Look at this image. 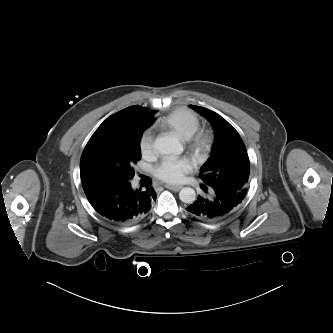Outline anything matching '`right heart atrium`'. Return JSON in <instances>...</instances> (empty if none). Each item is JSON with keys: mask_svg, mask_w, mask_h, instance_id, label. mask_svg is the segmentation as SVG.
<instances>
[{"mask_svg": "<svg viewBox=\"0 0 333 333\" xmlns=\"http://www.w3.org/2000/svg\"><path fill=\"white\" fill-rule=\"evenodd\" d=\"M140 151L144 157H149L154 152V139L150 132H145L141 137Z\"/></svg>", "mask_w": 333, "mask_h": 333, "instance_id": "1", "label": "right heart atrium"}]
</instances>
